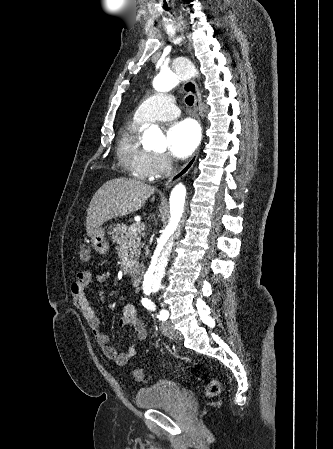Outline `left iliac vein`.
<instances>
[{
    "label": "left iliac vein",
    "mask_w": 333,
    "mask_h": 449,
    "mask_svg": "<svg viewBox=\"0 0 333 449\" xmlns=\"http://www.w3.org/2000/svg\"><path fill=\"white\" fill-rule=\"evenodd\" d=\"M160 330L164 336L170 339L175 338V331L169 322L162 323Z\"/></svg>",
    "instance_id": "1"
}]
</instances>
